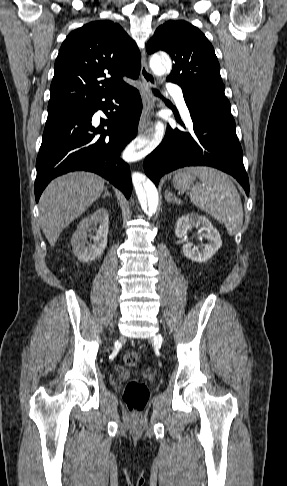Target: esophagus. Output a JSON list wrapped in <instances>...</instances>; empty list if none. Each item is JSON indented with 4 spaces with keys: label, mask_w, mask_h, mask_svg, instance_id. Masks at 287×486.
<instances>
[{
    "label": "esophagus",
    "mask_w": 287,
    "mask_h": 486,
    "mask_svg": "<svg viewBox=\"0 0 287 486\" xmlns=\"http://www.w3.org/2000/svg\"><path fill=\"white\" fill-rule=\"evenodd\" d=\"M141 78L143 81L141 88L143 111L139 121V133L143 132L150 125V116L155 106V97L151 92V88L155 86L156 80L148 68L145 50H143L141 53Z\"/></svg>",
    "instance_id": "obj_1"
}]
</instances>
